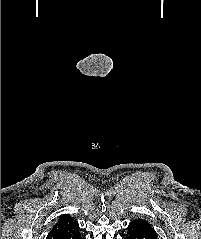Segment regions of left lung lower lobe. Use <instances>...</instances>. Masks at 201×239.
I'll return each mask as SVG.
<instances>
[{"label": "left lung lower lobe", "instance_id": "0a47b994", "mask_svg": "<svg viewBox=\"0 0 201 239\" xmlns=\"http://www.w3.org/2000/svg\"><path fill=\"white\" fill-rule=\"evenodd\" d=\"M124 239H157V234L148 222L139 219L128 225V232Z\"/></svg>", "mask_w": 201, "mask_h": 239}]
</instances>
